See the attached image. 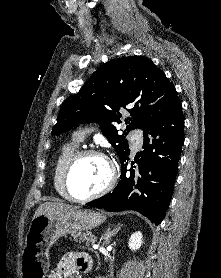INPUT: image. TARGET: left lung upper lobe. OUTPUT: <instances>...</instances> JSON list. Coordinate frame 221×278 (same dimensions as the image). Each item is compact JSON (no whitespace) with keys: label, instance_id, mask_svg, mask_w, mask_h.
I'll use <instances>...</instances> for the list:
<instances>
[{"label":"left lung upper lobe","instance_id":"left-lung-upper-lobe-1","mask_svg":"<svg viewBox=\"0 0 221 278\" xmlns=\"http://www.w3.org/2000/svg\"><path fill=\"white\" fill-rule=\"evenodd\" d=\"M177 100L174 85L150 59L119 58L102 65L78 94L63 103L51 134H60L80 123H100L103 135L122 159L130 149L125 136L118 135L112 124L121 123L119 111L125 108L131 115L125 120L124 134H128L157 122Z\"/></svg>","mask_w":221,"mask_h":278}]
</instances>
